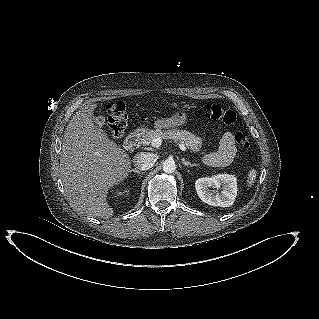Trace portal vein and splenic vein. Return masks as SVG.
Listing matches in <instances>:
<instances>
[{"label": "portal vein and splenic vein", "instance_id": "portal-vein-and-splenic-vein-1", "mask_svg": "<svg viewBox=\"0 0 319 319\" xmlns=\"http://www.w3.org/2000/svg\"><path fill=\"white\" fill-rule=\"evenodd\" d=\"M161 144H162V139L161 138H154L153 140H152V146L153 147H160L161 146ZM179 145V148L182 150V151H186V147L183 145V144H181V143H179L178 144Z\"/></svg>", "mask_w": 319, "mask_h": 319}]
</instances>
